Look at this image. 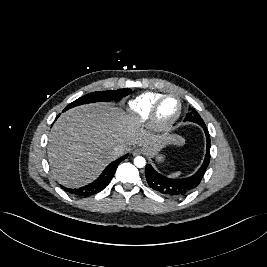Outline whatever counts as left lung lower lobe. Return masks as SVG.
<instances>
[{
	"mask_svg": "<svg viewBox=\"0 0 267 267\" xmlns=\"http://www.w3.org/2000/svg\"><path fill=\"white\" fill-rule=\"evenodd\" d=\"M204 129L207 140L206 155L198 171L187 178H168L158 173L150 164L145 168V176L149 186L167 197H183L191 193L201 182L210 161V135L205 123L200 124Z\"/></svg>",
	"mask_w": 267,
	"mask_h": 267,
	"instance_id": "1",
	"label": "left lung lower lobe"
}]
</instances>
